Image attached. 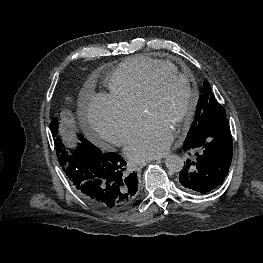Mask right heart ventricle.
<instances>
[{"label": "right heart ventricle", "mask_w": 263, "mask_h": 263, "mask_svg": "<svg viewBox=\"0 0 263 263\" xmlns=\"http://www.w3.org/2000/svg\"><path fill=\"white\" fill-rule=\"evenodd\" d=\"M156 70H177L168 62L136 56L122 62L109 76L110 94L122 103L139 109L143 92Z\"/></svg>", "instance_id": "1"}]
</instances>
